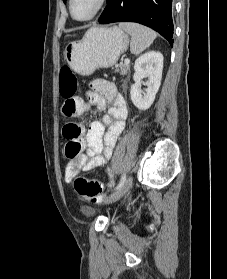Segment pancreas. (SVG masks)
Listing matches in <instances>:
<instances>
[{
  "mask_svg": "<svg viewBox=\"0 0 227 279\" xmlns=\"http://www.w3.org/2000/svg\"><path fill=\"white\" fill-rule=\"evenodd\" d=\"M116 71L120 72L121 75H127L130 72L129 64L120 63L116 66Z\"/></svg>",
  "mask_w": 227,
  "mask_h": 279,
  "instance_id": "1",
  "label": "pancreas"
}]
</instances>
